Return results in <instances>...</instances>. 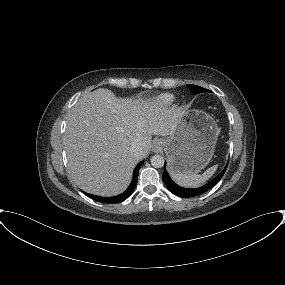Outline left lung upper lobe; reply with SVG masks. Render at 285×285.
<instances>
[{"label": "left lung upper lobe", "instance_id": "1", "mask_svg": "<svg viewBox=\"0 0 285 285\" xmlns=\"http://www.w3.org/2000/svg\"><path fill=\"white\" fill-rule=\"evenodd\" d=\"M187 87L190 89L191 93H193V94H199L202 92H209V90L204 89L200 86H196V85H187Z\"/></svg>", "mask_w": 285, "mask_h": 285}]
</instances>
